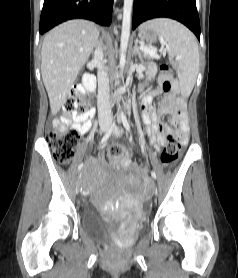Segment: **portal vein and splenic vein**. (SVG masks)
I'll use <instances>...</instances> for the list:
<instances>
[{
	"mask_svg": "<svg viewBox=\"0 0 238 278\" xmlns=\"http://www.w3.org/2000/svg\"><path fill=\"white\" fill-rule=\"evenodd\" d=\"M140 49L142 51H144L145 53L149 54L150 56H152L153 58L159 59V55L157 54V50L154 48H148L145 46H141Z\"/></svg>",
	"mask_w": 238,
	"mask_h": 278,
	"instance_id": "1",
	"label": "portal vein and splenic vein"
}]
</instances>
